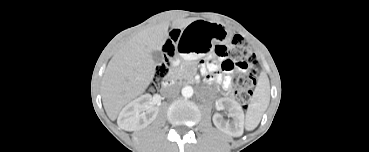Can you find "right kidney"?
<instances>
[{
  "label": "right kidney",
  "instance_id": "obj_1",
  "mask_svg": "<svg viewBox=\"0 0 369 152\" xmlns=\"http://www.w3.org/2000/svg\"><path fill=\"white\" fill-rule=\"evenodd\" d=\"M147 96H142L133 103L127 105L121 112L120 118L127 124L136 129H142L147 126L156 116V107L150 105ZM144 111L139 114L140 111Z\"/></svg>",
  "mask_w": 369,
  "mask_h": 152
}]
</instances>
